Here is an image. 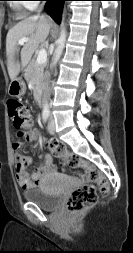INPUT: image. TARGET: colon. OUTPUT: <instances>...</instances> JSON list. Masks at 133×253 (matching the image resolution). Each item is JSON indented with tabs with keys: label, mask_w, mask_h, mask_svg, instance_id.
<instances>
[{
	"label": "colon",
	"mask_w": 133,
	"mask_h": 253,
	"mask_svg": "<svg viewBox=\"0 0 133 253\" xmlns=\"http://www.w3.org/2000/svg\"><path fill=\"white\" fill-rule=\"evenodd\" d=\"M8 115L13 126L19 130V136L25 137V131L29 125L30 114L28 108L17 99H8L6 102ZM51 152L61 157L64 164L69 167H84L88 178L96 183L103 193L108 192L109 182L106 177L96 168L84 163L79 156L69 153L65 145L57 140L48 143ZM97 202V191L94 185L85 184L73 191L66 201V209L69 212H79L94 206Z\"/></svg>",
	"instance_id": "obj_1"
}]
</instances>
